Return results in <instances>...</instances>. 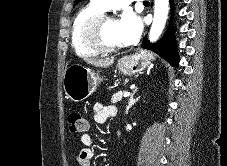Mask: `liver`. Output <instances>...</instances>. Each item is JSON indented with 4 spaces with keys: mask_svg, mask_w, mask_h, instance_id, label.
Masks as SVG:
<instances>
[{
    "mask_svg": "<svg viewBox=\"0 0 227 166\" xmlns=\"http://www.w3.org/2000/svg\"><path fill=\"white\" fill-rule=\"evenodd\" d=\"M84 61L87 64L93 65L95 67H102L106 68L109 67L114 63V57L105 58V59H98V58H85Z\"/></svg>",
    "mask_w": 227,
    "mask_h": 166,
    "instance_id": "6515ba94",
    "label": "liver"
}]
</instances>
